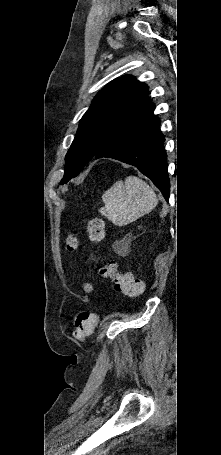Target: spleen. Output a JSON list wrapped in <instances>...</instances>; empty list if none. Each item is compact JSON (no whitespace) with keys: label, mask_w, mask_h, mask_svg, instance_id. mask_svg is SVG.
Segmentation results:
<instances>
[{"label":"spleen","mask_w":221,"mask_h":455,"mask_svg":"<svg viewBox=\"0 0 221 455\" xmlns=\"http://www.w3.org/2000/svg\"><path fill=\"white\" fill-rule=\"evenodd\" d=\"M102 200L105 206L100 213L117 226L139 219L151 212L158 203L155 192L136 176H128L124 182H115L104 192Z\"/></svg>","instance_id":"1"}]
</instances>
